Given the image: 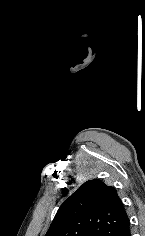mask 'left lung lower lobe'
I'll return each instance as SVG.
<instances>
[{"label":"left lung lower lobe","instance_id":"1","mask_svg":"<svg viewBox=\"0 0 145 236\" xmlns=\"http://www.w3.org/2000/svg\"><path fill=\"white\" fill-rule=\"evenodd\" d=\"M120 236H130V224L128 227L122 232Z\"/></svg>","mask_w":145,"mask_h":236}]
</instances>
